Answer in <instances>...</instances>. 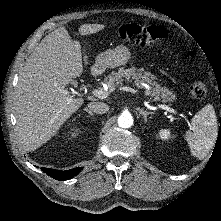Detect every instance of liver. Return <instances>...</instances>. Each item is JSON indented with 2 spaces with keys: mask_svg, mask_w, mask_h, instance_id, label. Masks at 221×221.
Returning <instances> with one entry per match:
<instances>
[{
  "mask_svg": "<svg viewBox=\"0 0 221 221\" xmlns=\"http://www.w3.org/2000/svg\"><path fill=\"white\" fill-rule=\"evenodd\" d=\"M104 28L103 24H83L78 31L86 36ZM83 58L87 65V56ZM82 71L80 43L71 39L65 27L45 36L28 57L14 98L17 132L26 150L49 140L84 103L66 88Z\"/></svg>",
  "mask_w": 221,
  "mask_h": 221,
  "instance_id": "6515ba94",
  "label": "liver"
}]
</instances>
